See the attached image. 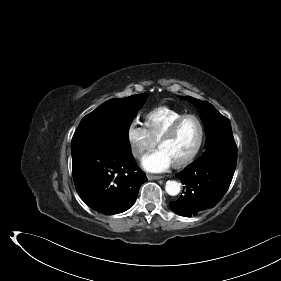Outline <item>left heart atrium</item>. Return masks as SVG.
Here are the masks:
<instances>
[{
    "label": "left heart atrium",
    "instance_id": "left-heart-atrium-1",
    "mask_svg": "<svg viewBox=\"0 0 281 281\" xmlns=\"http://www.w3.org/2000/svg\"><path fill=\"white\" fill-rule=\"evenodd\" d=\"M141 164L145 170L156 173L166 171L173 162L163 150L159 149L146 155Z\"/></svg>",
    "mask_w": 281,
    "mask_h": 281
}]
</instances>
